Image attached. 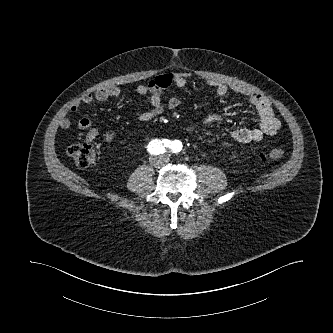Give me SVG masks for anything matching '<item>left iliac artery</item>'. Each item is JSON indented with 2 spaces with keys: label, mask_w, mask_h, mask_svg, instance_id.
<instances>
[{
  "label": "left iliac artery",
  "mask_w": 333,
  "mask_h": 333,
  "mask_svg": "<svg viewBox=\"0 0 333 333\" xmlns=\"http://www.w3.org/2000/svg\"><path fill=\"white\" fill-rule=\"evenodd\" d=\"M170 148L172 149L173 153H177L180 151L181 147H179L178 145H176L175 143H172V145L170 146Z\"/></svg>",
  "instance_id": "obj_1"
}]
</instances>
